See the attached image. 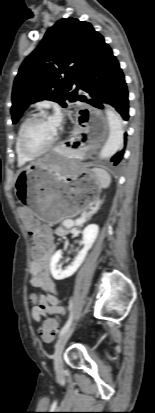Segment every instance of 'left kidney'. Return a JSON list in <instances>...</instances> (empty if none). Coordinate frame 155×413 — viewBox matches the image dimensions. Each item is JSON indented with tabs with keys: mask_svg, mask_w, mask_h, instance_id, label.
I'll use <instances>...</instances> for the list:
<instances>
[{
	"mask_svg": "<svg viewBox=\"0 0 155 413\" xmlns=\"http://www.w3.org/2000/svg\"><path fill=\"white\" fill-rule=\"evenodd\" d=\"M99 227L96 224H90L86 226L83 230V244L84 247L78 253L75 260L69 265L65 270L59 267V261L62 257V251L58 250L51 258L50 270L54 279L63 280L72 276L78 268L81 266L88 251L91 249L93 243L95 242L98 235Z\"/></svg>",
	"mask_w": 155,
	"mask_h": 413,
	"instance_id": "5707ae66",
	"label": "left kidney"
}]
</instances>
